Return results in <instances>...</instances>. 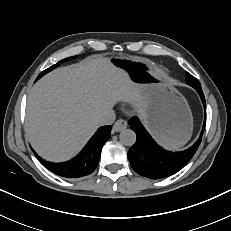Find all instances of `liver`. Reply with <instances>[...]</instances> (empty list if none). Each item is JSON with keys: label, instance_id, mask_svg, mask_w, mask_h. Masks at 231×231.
<instances>
[{"label": "liver", "instance_id": "liver-1", "mask_svg": "<svg viewBox=\"0 0 231 231\" xmlns=\"http://www.w3.org/2000/svg\"><path fill=\"white\" fill-rule=\"evenodd\" d=\"M145 112V101L127 73L101 56L58 68L41 78L27 100L25 131L46 160L75 156L94 134L99 119L118 101Z\"/></svg>", "mask_w": 231, "mask_h": 231}]
</instances>
